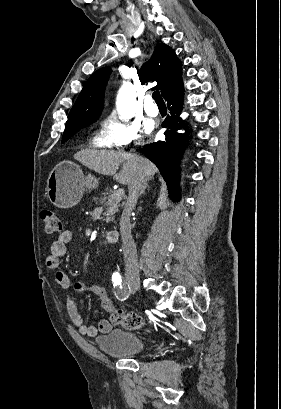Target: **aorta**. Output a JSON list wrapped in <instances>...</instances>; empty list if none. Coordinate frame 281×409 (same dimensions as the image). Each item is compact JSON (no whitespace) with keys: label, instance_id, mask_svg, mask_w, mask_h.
<instances>
[{"label":"aorta","instance_id":"1","mask_svg":"<svg viewBox=\"0 0 281 409\" xmlns=\"http://www.w3.org/2000/svg\"><path fill=\"white\" fill-rule=\"evenodd\" d=\"M133 94L130 85H125L119 95L117 110L120 114L129 117L133 113Z\"/></svg>","mask_w":281,"mask_h":409}]
</instances>
